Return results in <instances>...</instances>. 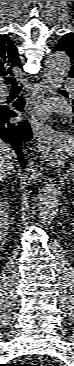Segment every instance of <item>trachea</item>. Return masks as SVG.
I'll list each match as a JSON object with an SVG mask.
<instances>
[{"label": "trachea", "instance_id": "3493384b", "mask_svg": "<svg viewBox=\"0 0 74 366\" xmlns=\"http://www.w3.org/2000/svg\"><path fill=\"white\" fill-rule=\"evenodd\" d=\"M6 80L10 81L11 86L13 88H20L21 87V86L18 85V82L16 81V78H14V77H6Z\"/></svg>", "mask_w": 74, "mask_h": 366}]
</instances>
